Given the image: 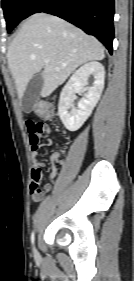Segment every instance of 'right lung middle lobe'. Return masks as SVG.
<instances>
[{
    "mask_svg": "<svg viewBox=\"0 0 134 281\" xmlns=\"http://www.w3.org/2000/svg\"><path fill=\"white\" fill-rule=\"evenodd\" d=\"M35 0H2V8L10 32L20 21L28 17V11Z\"/></svg>",
    "mask_w": 134,
    "mask_h": 281,
    "instance_id": "obj_1",
    "label": "right lung middle lobe"
}]
</instances>
